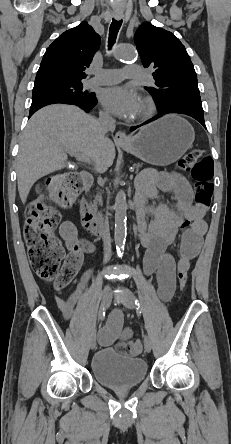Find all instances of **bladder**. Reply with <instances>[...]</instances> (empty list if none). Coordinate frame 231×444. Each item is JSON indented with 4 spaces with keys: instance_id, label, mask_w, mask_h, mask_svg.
<instances>
[{
    "instance_id": "31cf9c89",
    "label": "bladder",
    "mask_w": 231,
    "mask_h": 444,
    "mask_svg": "<svg viewBox=\"0 0 231 444\" xmlns=\"http://www.w3.org/2000/svg\"><path fill=\"white\" fill-rule=\"evenodd\" d=\"M90 367L98 383L114 389L137 386L147 374V364L143 359L126 356L114 348L98 349Z\"/></svg>"
}]
</instances>
